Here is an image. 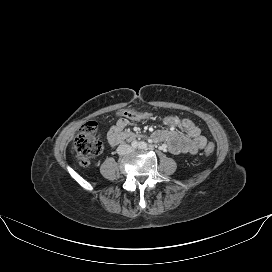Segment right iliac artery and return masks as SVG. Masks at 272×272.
<instances>
[{"mask_svg":"<svg viewBox=\"0 0 272 272\" xmlns=\"http://www.w3.org/2000/svg\"><path fill=\"white\" fill-rule=\"evenodd\" d=\"M138 145H139V144H138L136 141L133 143V147H134V148H136Z\"/></svg>","mask_w":272,"mask_h":272,"instance_id":"obj_1","label":"right iliac artery"}]
</instances>
